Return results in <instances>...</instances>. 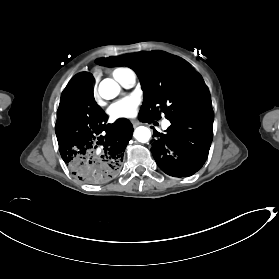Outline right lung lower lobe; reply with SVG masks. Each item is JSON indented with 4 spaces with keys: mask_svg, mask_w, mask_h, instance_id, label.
I'll list each match as a JSON object with an SVG mask.
<instances>
[{
    "mask_svg": "<svg viewBox=\"0 0 279 279\" xmlns=\"http://www.w3.org/2000/svg\"><path fill=\"white\" fill-rule=\"evenodd\" d=\"M92 87L89 72L71 79L61 95L55 130L72 173L87 184H102L119 174L133 127L127 119L106 124L108 116L95 102Z\"/></svg>",
    "mask_w": 279,
    "mask_h": 279,
    "instance_id": "98d812e1",
    "label": "right lung lower lobe"
}]
</instances>
